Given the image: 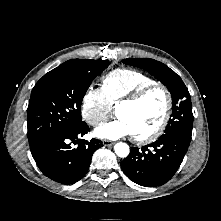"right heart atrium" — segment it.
I'll return each mask as SVG.
<instances>
[{
	"label": "right heart atrium",
	"mask_w": 221,
	"mask_h": 221,
	"mask_svg": "<svg viewBox=\"0 0 221 221\" xmlns=\"http://www.w3.org/2000/svg\"><path fill=\"white\" fill-rule=\"evenodd\" d=\"M111 111L112 106L101 89L93 87L87 89L81 101V115L85 122L96 127L109 116Z\"/></svg>",
	"instance_id": "obj_1"
}]
</instances>
